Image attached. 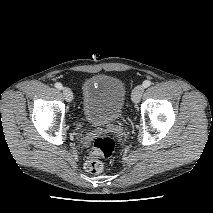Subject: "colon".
Returning a JSON list of instances; mask_svg holds the SVG:
<instances>
[{"instance_id": "5ec220e1", "label": "colon", "mask_w": 213, "mask_h": 213, "mask_svg": "<svg viewBox=\"0 0 213 213\" xmlns=\"http://www.w3.org/2000/svg\"><path fill=\"white\" fill-rule=\"evenodd\" d=\"M116 150V141L113 137L103 135L97 137L91 147L90 153L84 162V168L91 174L103 171V159H109Z\"/></svg>"}]
</instances>
